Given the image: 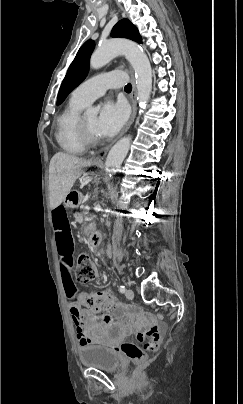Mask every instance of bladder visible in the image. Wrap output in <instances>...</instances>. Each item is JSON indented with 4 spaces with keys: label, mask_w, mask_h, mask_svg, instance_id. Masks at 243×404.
Segmentation results:
<instances>
[{
    "label": "bladder",
    "mask_w": 243,
    "mask_h": 404,
    "mask_svg": "<svg viewBox=\"0 0 243 404\" xmlns=\"http://www.w3.org/2000/svg\"><path fill=\"white\" fill-rule=\"evenodd\" d=\"M78 357L81 364L86 368L116 372L121 367L117 353L102 345H79Z\"/></svg>",
    "instance_id": "obj_1"
}]
</instances>
